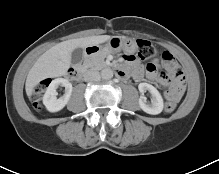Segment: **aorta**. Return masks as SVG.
<instances>
[{
  "label": "aorta",
  "instance_id": "obj_1",
  "mask_svg": "<svg viewBox=\"0 0 219 174\" xmlns=\"http://www.w3.org/2000/svg\"><path fill=\"white\" fill-rule=\"evenodd\" d=\"M102 79L109 80L113 77V71L111 68H105L101 71Z\"/></svg>",
  "mask_w": 219,
  "mask_h": 174
}]
</instances>
